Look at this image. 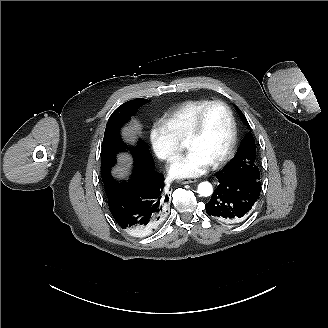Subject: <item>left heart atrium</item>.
Instances as JSON below:
<instances>
[{
	"instance_id": "left-heart-atrium-1",
	"label": "left heart atrium",
	"mask_w": 328,
	"mask_h": 328,
	"mask_svg": "<svg viewBox=\"0 0 328 328\" xmlns=\"http://www.w3.org/2000/svg\"><path fill=\"white\" fill-rule=\"evenodd\" d=\"M211 162L199 151L188 149L167 166L168 173L176 178L195 177L204 174Z\"/></svg>"
}]
</instances>
